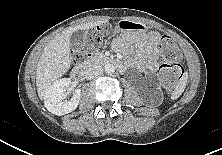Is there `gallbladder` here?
Returning a JSON list of instances; mask_svg holds the SVG:
<instances>
[{
	"mask_svg": "<svg viewBox=\"0 0 222 155\" xmlns=\"http://www.w3.org/2000/svg\"><path fill=\"white\" fill-rule=\"evenodd\" d=\"M70 45L73 51L81 53L87 47V33L84 30H77L70 36Z\"/></svg>",
	"mask_w": 222,
	"mask_h": 155,
	"instance_id": "obj_1",
	"label": "gallbladder"
}]
</instances>
